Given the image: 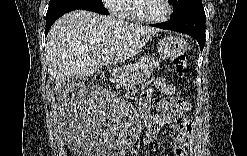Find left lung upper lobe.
<instances>
[{"label":"left lung upper lobe","instance_id":"obj_1","mask_svg":"<svg viewBox=\"0 0 247 156\" xmlns=\"http://www.w3.org/2000/svg\"><path fill=\"white\" fill-rule=\"evenodd\" d=\"M200 2L201 0H172L173 14L171 15V18L183 15L190 7Z\"/></svg>","mask_w":247,"mask_h":156}]
</instances>
